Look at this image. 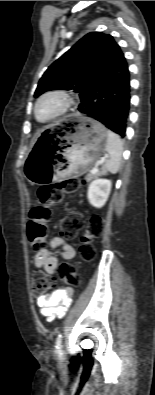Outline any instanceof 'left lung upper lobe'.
I'll list each match as a JSON object with an SVG mask.
<instances>
[{
  "mask_svg": "<svg viewBox=\"0 0 155 395\" xmlns=\"http://www.w3.org/2000/svg\"><path fill=\"white\" fill-rule=\"evenodd\" d=\"M124 58L111 35L91 32L48 67L38 83L35 97L53 89L74 90L82 103L98 87L103 76Z\"/></svg>",
  "mask_w": 155,
  "mask_h": 395,
  "instance_id": "1",
  "label": "left lung upper lobe"
}]
</instances>
